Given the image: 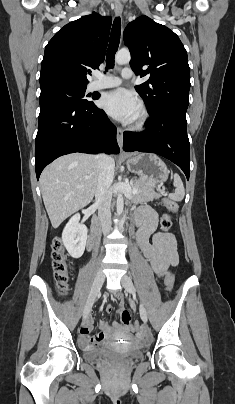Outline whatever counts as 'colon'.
Masks as SVG:
<instances>
[{
    "instance_id": "1",
    "label": "colon",
    "mask_w": 235,
    "mask_h": 404,
    "mask_svg": "<svg viewBox=\"0 0 235 404\" xmlns=\"http://www.w3.org/2000/svg\"><path fill=\"white\" fill-rule=\"evenodd\" d=\"M164 204L170 209V211L175 212L178 208L177 204L169 199H164ZM171 227V219L169 214H165L161 219V228L163 231H168ZM52 267L54 271V278L57 287L62 295H64L68 288V282L70 279L68 262L66 258L65 249L63 247L62 241L59 238H55L52 244ZM174 284V274L169 272L166 275L165 285L166 290L171 291ZM121 320L125 325H131V316L127 310H124L121 314ZM133 329H137L138 325H132Z\"/></svg>"
}]
</instances>
